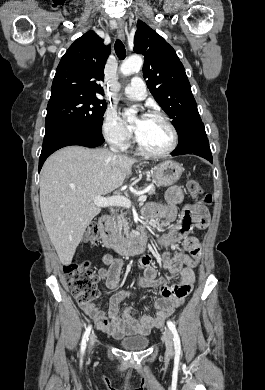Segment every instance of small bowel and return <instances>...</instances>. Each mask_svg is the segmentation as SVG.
I'll list each match as a JSON object with an SVG mask.
<instances>
[{
	"mask_svg": "<svg viewBox=\"0 0 265 390\" xmlns=\"http://www.w3.org/2000/svg\"><path fill=\"white\" fill-rule=\"evenodd\" d=\"M183 200L184 194L181 188L173 186L166 193L165 204L150 203L143 210L145 218L160 219L164 226H169V231L158 239L161 246L173 247L178 243L182 244L183 251L164 252L160 256L165 271L170 276H178L177 284L171 285L166 279L159 277L156 267L151 265V257L143 256L139 261L143 276L138 280V285L159 289L160 297L153 303L155 314L144 315L140 320H135L132 317L135 310L127 307L122 315H119V303L134 295L132 289L120 291L111 297L109 319L95 304H82V310L103 333L115 338L130 334L146 335L151 330L161 327L192 291L195 281L194 267L200 258V244L190 233L193 224L199 229L207 226L209 213L207 208L199 203H186L182 208L180 221L171 225L177 217V206ZM102 261L105 267L99 270L98 277L105 281L108 289H115L124 263L112 254H105Z\"/></svg>",
	"mask_w": 265,
	"mask_h": 390,
	"instance_id": "c3829d8e",
	"label": "small bowel"
}]
</instances>
